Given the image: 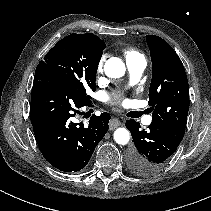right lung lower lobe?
Masks as SVG:
<instances>
[{"label":"right lung lower lobe","mask_w":211,"mask_h":211,"mask_svg":"<svg viewBox=\"0 0 211 211\" xmlns=\"http://www.w3.org/2000/svg\"><path fill=\"white\" fill-rule=\"evenodd\" d=\"M91 106L79 90L55 77L35 74L30 117L44 158L64 172H77L89 162L108 131L110 115L91 116L89 125L75 123L78 109Z\"/></svg>","instance_id":"98d812e1"}]
</instances>
